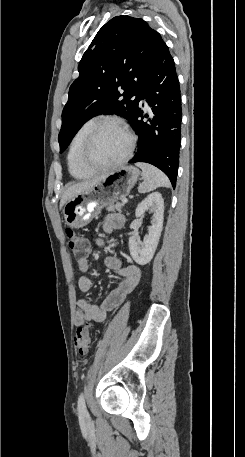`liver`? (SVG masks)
Listing matches in <instances>:
<instances>
[{"mask_svg":"<svg viewBox=\"0 0 245 457\" xmlns=\"http://www.w3.org/2000/svg\"><path fill=\"white\" fill-rule=\"evenodd\" d=\"M102 178H105V174L96 176V178H91V180H84V182H76V184L69 186V188L65 190L60 200V206H63V204H65L66 200H69V198H73V196H76V194H80V192H83V190H86V188L93 186L95 182H99V180H102Z\"/></svg>","mask_w":245,"mask_h":457,"instance_id":"1","label":"liver"}]
</instances>
